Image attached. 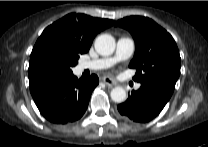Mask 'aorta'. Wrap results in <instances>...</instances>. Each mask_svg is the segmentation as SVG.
I'll list each match as a JSON object with an SVG mask.
<instances>
[{"label":"aorta","instance_id":"762f6f07","mask_svg":"<svg viewBox=\"0 0 208 147\" xmlns=\"http://www.w3.org/2000/svg\"><path fill=\"white\" fill-rule=\"evenodd\" d=\"M95 50L102 56L113 54L116 42L110 34H101L95 39ZM111 99L116 103H122L126 100L127 94L122 87H115L110 93Z\"/></svg>","mask_w":208,"mask_h":147}]
</instances>
